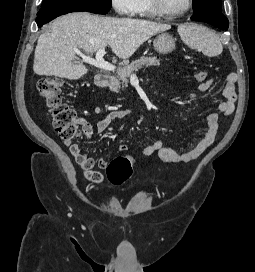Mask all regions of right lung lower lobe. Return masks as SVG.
I'll return each mask as SVG.
<instances>
[{
    "label": "right lung lower lobe",
    "mask_w": 255,
    "mask_h": 272,
    "mask_svg": "<svg viewBox=\"0 0 255 272\" xmlns=\"http://www.w3.org/2000/svg\"><path fill=\"white\" fill-rule=\"evenodd\" d=\"M80 11L84 10L74 8H41L40 11L37 13L36 23L39 27H41L45 23L55 19L60 15Z\"/></svg>",
    "instance_id": "obj_1"
}]
</instances>
